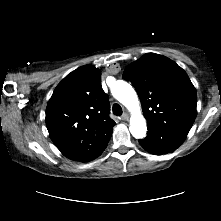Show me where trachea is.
I'll return each instance as SVG.
<instances>
[{"label":"trachea","mask_w":221,"mask_h":221,"mask_svg":"<svg viewBox=\"0 0 221 221\" xmlns=\"http://www.w3.org/2000/svg\"><path fill=\"white\" fill-rule=\"evenodd\" d=\"M112 109H113V113L116 116H120L122 114V108L119 104H114Z\"/></svg>","instance_id":"3493384b"}]
</instances>
